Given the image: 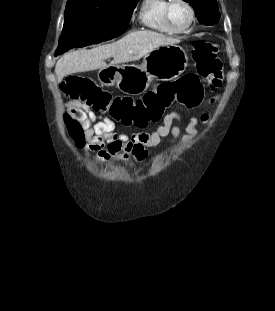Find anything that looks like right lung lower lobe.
Here are the masks:
<instances>
[{
	"instance_id": "1",
	"label": "right lung lower lobe",
	"mask_w": 275,
	"mask_h": 311,
	"mask_svg": "<svg viewBox=\"0 0 275 311\" xmlns=\"http://www.w3.org/2000/svg\"><path fill=\"white\" fill-rule=\"evenodd\" d=\"M119 28H120V27H119ZM125 30H126V28H120V29L115 33V36H113V37H111V38L102 39L101 41L109 40V39H112V38H114V37H116V36H119L120 34L124 33ZM101 41H100V42H101Z\"/></svg>"
}]
</instances>
